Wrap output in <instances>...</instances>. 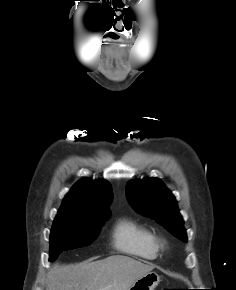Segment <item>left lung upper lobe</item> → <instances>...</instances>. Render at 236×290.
<instances>
[{
  "instance_id": "5c2ea615",
  "label": "left lung upper lobe",
  "mask_w": 236,
  "mask_h": 290,
  "mask_svg": "<svg viewBox=\"0 0 236 290\" xmlns=\"http://www.w3.org/2000/svg\"><path fill=\"white\" fill-rule=\"evenodd\" d=\"M126 196L136 211L155 219L176 238L187 242L177 201L158 178L130 181Z\"/></svg>"
}]
</instances>
